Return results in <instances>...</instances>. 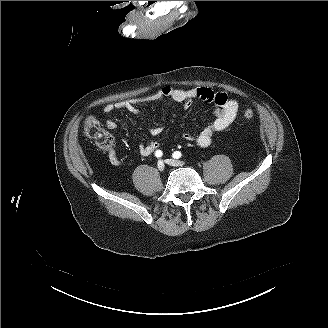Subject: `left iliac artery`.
Here are the masks:
<instances>
[{"label":"left iliac artery","instance_id":"1","mask_svg":"<svg viewBox=\"0 0 328 328\" xmlns=\"http://www.w3.org/2000/svg\"><path fill=\"white\" fill-rule=\"evenodd\" d=\"M180 157H181V152H179V151H175V152L173 153V158L178 159V158H180Z\"/></svg>","mask_w":328,"mask_h":328}]
</instances>
